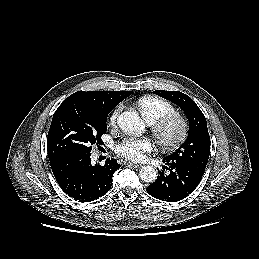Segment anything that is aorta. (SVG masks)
I'll return each mask as SVG.
<instances>
[{
  "mask_svg": "<svg viewBox=\"0 0 259 259\" xmlns=\"http://www.w3.org/2000/svg\"><path fill=\"white\" fill-rule=\"evenodd\" d=\"M118 126L127 133H142L145 125L140 116L133 111H125L117 118ZM157 171L152 166H143L139 171V177L144 182H154L157 179Z\"/></svg>",
  "mask_w": 259,
  "mask_h": 259,
  "instance_id": "obj_1",
  "label": "aorta"
}]
</instances>
